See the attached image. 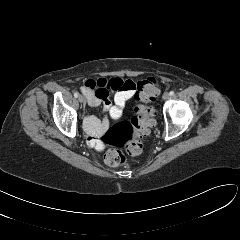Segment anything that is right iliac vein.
Here are the masks:
<instances>
[{"instance_id":"obj_1","label":"right iliac vein","mask_w":240,"mask_h":240,"mask_svg":"<svg viewBox=\"0 0 240 240\" xmlns=\"http://www.w3.org/2000/svg\"><path fill=\"white\" fill-rule=\"evenodd\" d=\"M78 101H79L80 103H83V102H84V98H83L82 95H79V96H78Z\"/></svg>"}]
</instances>
